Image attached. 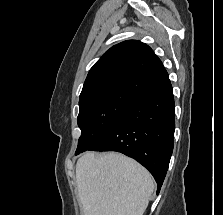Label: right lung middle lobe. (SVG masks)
Masks as SVG:
<instances>
[{"instance_id":"1","label":"right lung middle lobe","mask_w":223,"mask_h":215,"mask_svg":"<svg viewBox=\"0 0 223 215\" xmlns=\"http://www.w3.org/2000/svg\"><path fill=\"white\" fill-rule=\"evenodd\" d=\"M142 95L128 90H114L79 104L78 126L81 136L75 155L87 151L134 105Z\"/></svg>"}]
</instances>
